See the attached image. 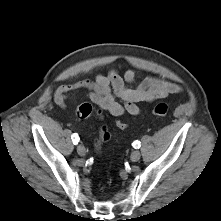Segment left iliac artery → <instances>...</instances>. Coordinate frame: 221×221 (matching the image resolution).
I'll return each mask as SVG.
<instances>
[{
	"label": "left iliac artery",
	"mask_w": 221,
	"mask_h": 221,
	"mask_svg": "<svg viewBox=\"0 0 221 221\" xmlns=\"http://www.w3.org/2000/svg\"><path fill=\"white\" fill-rule=\"evenodd\" d=\"M132 146L135 148V149H139L140 148V142L139 141H135L133 142Z\"/></svg>",
	"instance_id": "44dca946"
}]
</instances>
